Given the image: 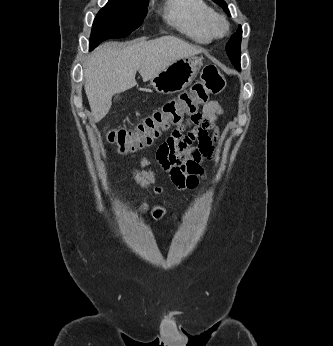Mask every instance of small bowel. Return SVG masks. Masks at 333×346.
Listing matches in <instances>:
<instances>
[{
  "instance_id": "1",
  "label": "small bowel",
  "mask_w": 333,
  "mask_h": 346,
  "mask_svg": "<svg viewBox=\"0 0 333 346\" xmlns=\"http://www.w3.org/2000/svg\"><path fill=\"white\" fill-rule=\"evenodd\" d=\"M221 114L219 102H208L203 107L200 118L182 121L158 147L156 159L179 190H192L198 186L200 177L204 175L203 163L214 151L217 122ZM193 141L198 142L196 147L191 146ZM141 164L148 166L150 161L142 158ZM130 173L137 183L146 188L158 177L156 173L145 170H131ZM164 190L162 186L153 189L156 194H161Z\"/></svg>"
}]
</instances>
